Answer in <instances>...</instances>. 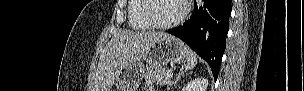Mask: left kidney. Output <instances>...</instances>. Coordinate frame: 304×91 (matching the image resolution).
<instances>
[{"instance_id":"1","label":"left kidney","mask_w":304,"mask_h":91,"mask_svg":"<svg viewBox=\"0 0 304 91\" xmlns=\"http://www.w3.org/2000/svg\"><path fill=\"white\" fill-rule=\"evenodd\" d=\"M208 80L206 78H196L187 83L182 91H206Z\"/></svg>"}]
</instances>
